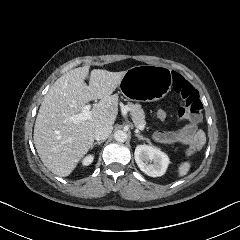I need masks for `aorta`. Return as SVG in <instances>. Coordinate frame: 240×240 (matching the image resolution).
Returning a JSON list of instances; mask_svg holds the SVG:
<instances>
[{"label": "aorta", "mask_w": 240, "mask_h": 240, "mask_svg": "<svg viewBox=\"0 0 240 240\" xmlns=\"http://www.w3.org/2000/svg\"><path fill=\"white\" fill-rule=\"evenodd\" d=\"M114 138L118 142H125L128 138V133L125 130H117L114 134Z\"/></svg>", "instance_id": "aorta-1"}]
</instances>
